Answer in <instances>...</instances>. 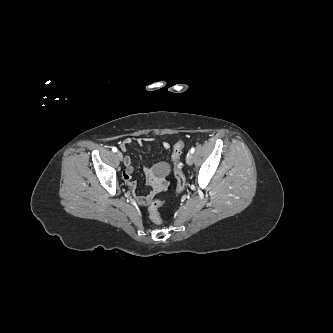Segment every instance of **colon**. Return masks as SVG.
I'll return each instance as SVG.
<instances>
[{"mask_svg": "<svg viewBox=\"0 0 333 333\" xmlns=\"http://www.w3.org/2000/svg\"><path fill=\"white\" fill-rule=\"evenodd\" d=\"M185 144L182 140L177 141L172 149V161L174 164V176L176 179V194L179 195L183 192L185 188V176L181 167L180 158L183 152ZM164 205V202L156 199L152 201L148 207L149 217L151 221L160 225L162 223V219L159 213V209Z\"/></svg>", "mask_w": 333, "mask_h": 333, "instance_id": "1", "label": "colon"}]
</instances>
